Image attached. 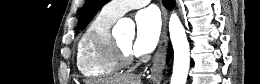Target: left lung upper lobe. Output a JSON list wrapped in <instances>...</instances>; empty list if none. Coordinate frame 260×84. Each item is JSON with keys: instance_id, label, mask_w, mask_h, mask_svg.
I'll return each instance as SVG.
<instances>
[{"instance_id": "left-lung-upper-lobe-1", "label": "left lung upper lobe", "mask_w": 260, "mask_h": 84, "mask_svg": "<svg viewBox=\"0 0 260 84\" xmlns=\"http://www.w3.org/2000/svg\"><path fill=\"white\" fill-rule=\"evenodd\" d=\"M109 0H86L79 16L77 27L83 30L97 11Z\"/></svg>"}]
</instances>
